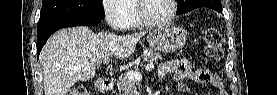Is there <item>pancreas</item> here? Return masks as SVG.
I'll return each mask as SVG.
<instances>
[{
    "label": "pancreas",
    "instance_id": "cf45deb5",
    "mask_svg": "<svg viewBox=\"0 0 277 95\" xmlns=\"http://www.w3.org/2000/svg\"><path fill=\"white\" fill-rule=\"evenodd\" d=\"M161 59V56L158 52L153 50H148L143 54V62L147 63H157ZM118 89L122 95H137V89L135 81L129 80L126 74L118 78Z\"/></svg>",
    "mask_w": 277,
    "mask_h": 95
}]
</instances>
